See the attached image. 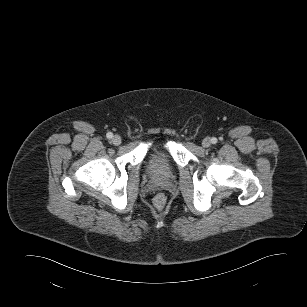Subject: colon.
<instances>
[{
  "label": "colon",
  "mask_w": 307,
  "mask_h": 307,
  "mask_svg": "<svg viewBox=\"0 0 307 307\" xmlns=\"http://www.w3.org/2000/svg\"><path fill=\"white\" fill-rule=\"evenodd\" d=\"M154 201L158 207H162L165 203V196L163 194H158Z\"/></svg>",
  "instance_id": "5ec220e1"
}]
</instances>
